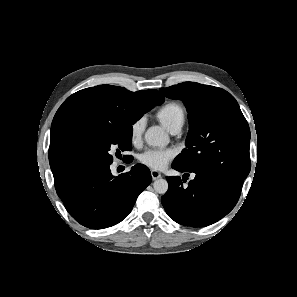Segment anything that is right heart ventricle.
<instances>
[{
	"mask_svg": "<svg viewBox=\"0 0 297 297\" xmlns=\"http://www.w3.org/2000/svg\"><path fill=\"white\" fill-rule=\"evenodd\" d=\"M157 119L170 132L180 129L185 121L183 107L177 102H168L156 112Z\"/></svg>",
	"mask_w": 297,
	"mask_h": 297,
	"instance_id": "right-heart-ventricle-1",
	"label": "right heart ventricle"
}]
</instances>
